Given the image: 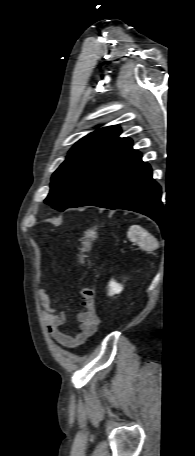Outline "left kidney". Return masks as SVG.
<instances>
[{
	"label": "left kidney",
	"instance_id": "5707ae66",
	"mask_svg": "<svg viewBox=\"0 0 195 456\" xmlns=\"http://www.w3.org/2000/svg\"><path fill=\"white\" fill-rule=\"evenodd\" d=\"M123 290L122 285L115 281H110L109 283V295L112 296L114 294H119Z\"/></svg>",
	"mask_w": 195,
	"mask_h": 456
}]
</instances>
